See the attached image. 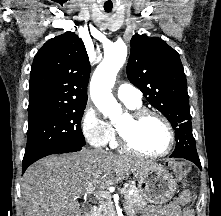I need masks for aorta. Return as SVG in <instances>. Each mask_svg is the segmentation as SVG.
<instances>
[{
  "label": "aorta",
  "mask_w": 221,
  "mask_h": 216,
  "mask_svg": "<svg viewBox=\"0 0 221 216\" xmlns=\"http://www.w3.org/2000/svg\"><path fill=\"white\" fill-rule=\"evenodd\" d=\"M127 57V46L116 42L105 52L103 61L96 68L90 82V96L104 117L114 119L122 114V107L113 97L111 89L117 73Z\"/></svg>",
  "instance_id": "aorta-1"
}]
</instances>
